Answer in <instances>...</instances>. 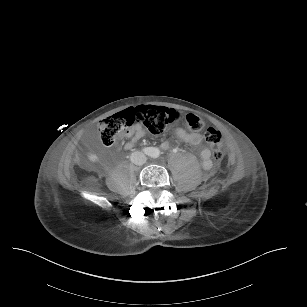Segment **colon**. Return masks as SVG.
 I'll return each mask as SVG.
<instances>
[{
    "instance_id": "1",
    "label": "colon",
    "mask_w": 307,
    "mask_h": 307,
    "mask_svg": "<svg viewBox=\"0 0 307 307\" xmlns=\"http://www.w3.org/2000/svg\"><path fill=\"white\" fill-rule=\"evenodd\" d=\"M132 116L133 122L127 123L126 117ZM180 117L192 131L199 132L205 127L203 119L190 112H180L171 108L139 106L124 110L118 114L103 118L99 125V135L105 146H112L125 127L131 126L134 122L144 125L148 132L153 135L162 134L165 127L176 122ZM204 137L215 159L223 158L222 134L215 128H206Z\"/></svg>"
}]
</instances>
